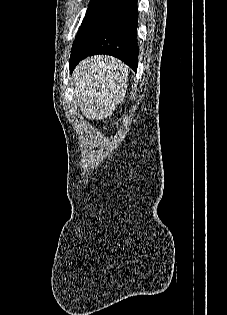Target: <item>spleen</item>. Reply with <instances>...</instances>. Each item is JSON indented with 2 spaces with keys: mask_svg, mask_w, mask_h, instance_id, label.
I'll return each mask as SVG.
<instances>
[{
  "mask_svg": "<svg viewBox=\"0 0 227 315\" xmlns=\"http://www.w3.org/2000/svg\"><path fill=\"white\" fill-rule=\"evenodd\" d=\"M127 80V66L114 58L83 62L75 73V92L83 114L89 119L109 116L123 99Z\"/></svg>",
  "mask_w": 227,
  "mask_h": 315,
  "instance_id": "3e777b00",
  "label": "spleen"
}]
</instances>
